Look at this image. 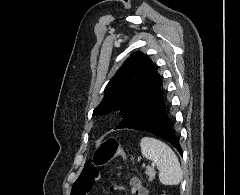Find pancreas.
I'll return each instance as SVG.
<instances>
[{"mask_svg": "<svg viewBox=\"0 0 240 195\" xmlns=\"http://www.w3.org/2000/svg\"><path fill=\"white\" fill-rule=\"evenodd\" d=\"M146 173L148 175V181H153V179L155 177V171H154L153 167H150V165H147Z\"/></svg>", "mask_w": 240, "mask_h": 195, "instance_id": "pancreas-1", "label": "pancreas"}]
</instances>
